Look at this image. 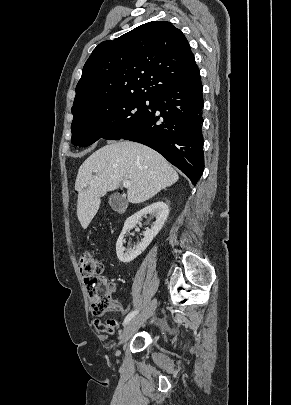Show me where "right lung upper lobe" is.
I'll use <instances>...</instances> for the list:
<instances>
[{"mask_svg":"<svg viewBox=\"0 0 291 405\" xmlns=\"http://www.w3.org/2000/svg\"><path fill=\"white\" fill-rule=\"evenodd\" d=\"M198 74L183 33L167 21H152L93 50L76 86L72 113L126 96L152 99L159 90Z\"/></svg>","mask_w":291,"mask_h":405,"instance_id":"1","label":"right lung upper lobe"}]
</instances>
